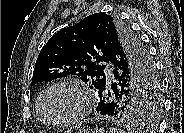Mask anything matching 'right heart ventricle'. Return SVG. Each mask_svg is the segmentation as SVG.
<instances>
[{"label":"right heart ventricle","mask_w":184,"mask_h":133,"mask_svg":"<svg viewBox=\"0 0 184 133\" xmlns=\"http://www.w3.org/2000/svg\"><path fill=\"white\" fill-rule=\"evenodd\" d=\"M42 94H43V93H41V95H40L39 98H38L37 105H36V109H37V113H38L40 119L43 120V121H46V120L44 119V117H43L41 111H40V100H41Z\"/></svg>","instance_id":"obj_1"}]
</instances>
